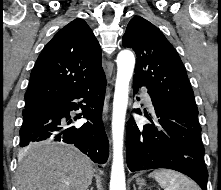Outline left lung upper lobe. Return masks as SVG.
Instances as JSON below:
<instances>
[{"label":"left lung upper lobe","instance_id":"1","mask_svg":"<svg viewBox=\"0 0 221 190\" xmlns=\"http://www.w3.org/2000/svg\"><path fill=\"white\" fill-rule=\"evenodd\" d=\"M122 45L136 53L134 80L146 86L165 105L198 116L185 67L157 27L140 16L133 17L123 35Z\"/></svg>","mask_w":221,"mask_h":190}]
</instances>
